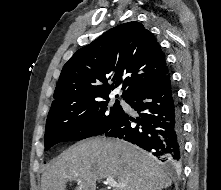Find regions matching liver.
<instances>
[{
  "label": "liver",
  "mask_w": 221,
  "mask_h": 190,
  "mask_svg": "<svg viewBox=\"0 0 221 190\" xmlns=\"http://www.w3.org/2000/svg\"><path fill=\"white\" fill-rule=\"evenodd\" d=\"M112 177L124 187L113 190H162L171 179L154 159L138 147L110 138H91L76 143L56 157L41 178V190H96V181Z\"/></svg>",
  "instance_id": "6515ba94"
}]
</instances>
